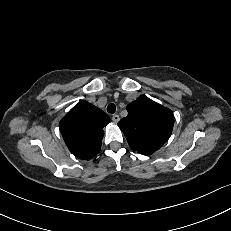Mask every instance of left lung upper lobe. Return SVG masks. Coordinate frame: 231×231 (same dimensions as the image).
Listing matches in <instances>:
<instances>
[{"mask_svg": "<svg viewBox=\"0 0 231 231\" xmlns=\"http://www.w3.org/2000/svg\"><path fill=\"white\" fill-rule=\"evenodd\" d=\"M128 115L118 122L130 148L149 155L158 150L170 137L173 112L141 95L127 106Z\"/></svg>", "mask_w": 231, "mask_h": 231, "instance_id": "5c2ea615", "label": "left lung upper lobe"}]
</instances>
